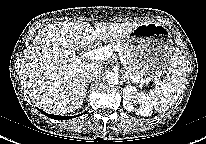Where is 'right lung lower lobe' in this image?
I'll return each instance as SVG.
<instances>
[{"label": "right lung lower lobe", "instance_id": "98d812e1", "mask_svg": "<svg viewBox=\"0 0 206 144\" xmlns=\"http://www.w3.org/2000/svg\"><path fill=\"white\" fill-rule=\"evenodd\" d=\"M40 112H42L47 117H49L51 119H55V120H67V119H71V118H74V117H78V115L77 116H67V117L58 116V115H51V114H48L46 112H43L42 110H40Z\"/></svg>", "mask_w": 206, "mask_h": 144}]
</instances>
